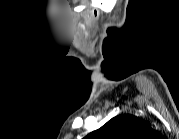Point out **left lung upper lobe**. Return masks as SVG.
<instances>
[{
    "mask_svg": "<svg viewBox=\"0 0 179 139\" xmlns=\"http://www.w3.org/2000/svg\"><path fill=\"white\" fill-rule=\"evenodd\" d=\"M151 132V127L136 116L122 114L112 118L88 136L90 139H143Z\"/></svg>",
    "mask_w": 179,
    "mask_h": 139,
    "instance_id": "5c2ea615",
    "label": "left lung upper lobe"
}]
</instances>
